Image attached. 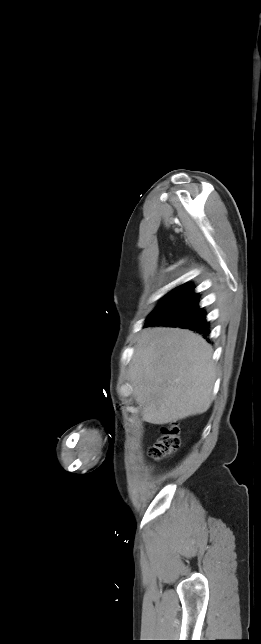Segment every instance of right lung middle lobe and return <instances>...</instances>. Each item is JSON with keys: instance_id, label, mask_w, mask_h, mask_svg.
<instances>
[{"instance_id": "dd1d6c3e", "label": "right lung middle lobe", "mask_w": 261, "mask_h": 644, "mask_svg": "<svg viewBox=\"0 0 261 644\" xmlns=\"http://www.w3.org/2000/svg\"><path fill=\"white\" fill-rule=\"evenodd\" d=\"M194 287L191 285H181L164 298V300L155 308V310L148 316L146 322L159 320L162 317L170 314L176 309L189 303L198 296L195 294Z\"/></svg>"}]
</instances>
